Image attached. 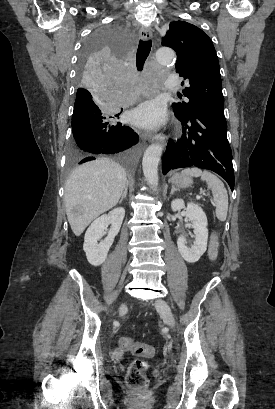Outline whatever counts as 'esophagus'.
I'll list each match as a JSON object with an SVG mask.
<instances>
[{
    "label": "esophagus",
    "mask_w": 275,
    "mask_h": 409,
    "mask_svg": "<svg viewBox=\"0 0 275 409\" xmlns=\"http://www.w3.org/2000/svg\"><path fill=\"white\" fill-rule=\"evenodd\" d=\"M139 36L141 40L147 41L152 38V32L149 28L142 27L139 31ZM167 137L163 133H158L151 138L152 141L160 143L165 147Z\"/></svg>",
    "instance_id": "34e87169"
}]
</instances>
